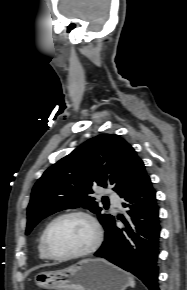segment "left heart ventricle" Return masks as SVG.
<instances>
[{"label": "left heart ventricle", "mask_w": 187, "mask_h": 290, "mask_svg": "<svg viewBox=\"0 0 187 290\" xmlns=\"http://www.w3.org/2000/svg\"><path fill=\"white\" fill-rule=\"evenodd\" d=\"M94 238L90 224L82 217L72 216L58 221L50 232L49 242L57 255H67L87 249Z\"/></svg>", "instance_id": "left-heart-ventricle-1"}]
</instances>
